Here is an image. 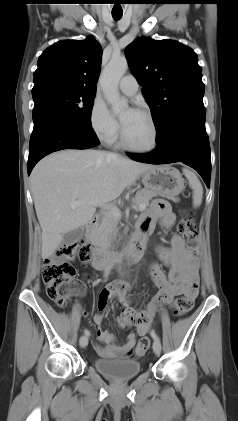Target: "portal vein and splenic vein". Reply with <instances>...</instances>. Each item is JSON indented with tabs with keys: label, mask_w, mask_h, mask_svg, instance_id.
Wrapping results in <instances>:
<instances>
[{
	"label": "portal vein and splenic vein",
	"mask_w": 238,
	"mask_h": 421,
	"mask_svg": "<svg viewBox=\"0 0 238 421\" xmlns=\"http://www.w3.org/2000/svg\"><path fill=\"white\" fill-rule=\"evenodd\" d=\"M83 204H84V202L74 201V202H71L70 203V207L72 209H75V208H77V207H79V206H81ZM89 204H93V205L99 206L101 208H107V209H109L111 211V213L114 216L119 217V218L121 217V212L119 211V209L117 207L113 206V205L107 204L106 202L104 203V202H100V201L96 200V201L90 202ZM144 209H145V206H143V205H140L138 207V210L139 211H143Z\"/></svg>",
	"instance_id": "portal-vein-and-splenic-vein-1"
}]
</instances>
